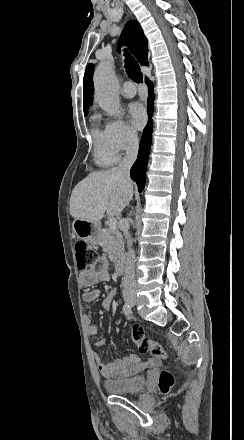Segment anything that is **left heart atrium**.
Segmentation results:
<instances>
[{
  "label": "left heart atrium",
  "instance_id": "obj_1",
  "mask_svg": "<svg viewBox=\"0 0 244 440\" xmlns=\"http://www.w3.org/2000/svg\"><path fill=\"white\" fill-rule=\"evenodd\" d=\"M129 113L132 124L136 128H142L147 120L145 108L140 103H132L129 107Z\"/></svg>",
  "mask_w": 244,
  "mask_h": 440
}]
</instances>
